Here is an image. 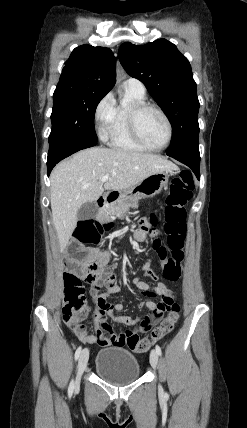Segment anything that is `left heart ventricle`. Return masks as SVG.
Returning a JSON list of instances; mask_svg holds the SVG:
<instances>
[{"label": "left heart ventricle", "instance_id": "obj_1", "mask_svg": "<svg viewBox=\"0 0 247 428\" xmlns=\"http://www.w3.org/2000/svg\"><path fill=\"white\" fill-rule=\"evenodd\" d=\"M138 129L143 139L152 146H160L167 139V125L154 110L147 109L139 115Z\"/></svg>", "mask_w": 247, "mask_h": 428}]
</instances>
